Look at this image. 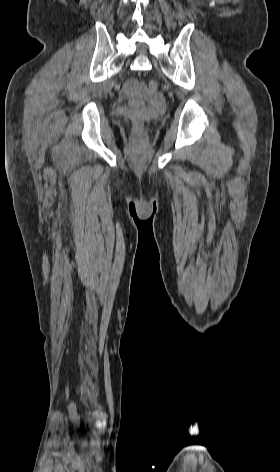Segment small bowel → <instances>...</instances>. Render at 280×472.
<instances>
[{
	"label": "small bowel",
	"instance_id": "1",
	"mask_svg": "<svg viewBox=\"0 0 280 472\" xmlns=\"http://www.w3.org/2000/svg\"><path fill=\"white\" fill-rule=\"evenodd\" d=\"M141 87V84L135 80V79H130L124 86V93L125 94H133L135 93L139 88Z\"/></svg>",
	"mask_w": 280,
	"mask_h": 472
}]
</instances>
